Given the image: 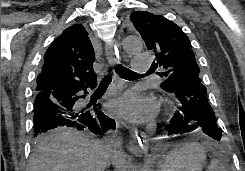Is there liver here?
<instances>
[{
    "instance_id": "6515ba94",
    "label": "liver",
    "mask_w": 245,
    "mask_h": 171,
    "mask_svg": "<svg viewBox=\"0 0 245 171\" xmlns=\"http://www.w3.org/2000/svg\"><path fill=\"white\" fill-rule=\"evenodd\" d=\"M113 164L126 171V162L114 149L68 127L45 135L30 161V171H105Z\"/></svg>"
}]
</instances>
